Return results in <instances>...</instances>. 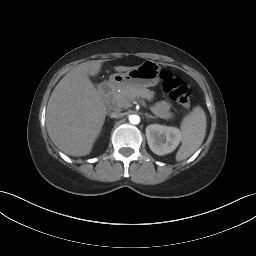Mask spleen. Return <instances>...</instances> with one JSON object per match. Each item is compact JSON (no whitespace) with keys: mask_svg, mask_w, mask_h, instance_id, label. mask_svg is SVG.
Returning a JSON list of instances; mask_svg holds the SVG:
<instances>
[{"mask_svg":"<svg viewBox=\"0 0 256 256\" xmlns=\"http://www.w3.org/2000/svg\"><path fill=\"white\" fill-rule=\"evenodd\" d=\"M206 115L200 106H196L181 123L182 145L176 161H183L190 157L202 144L206 133Z\"/></svg>","mask_w":256,"mask_h":256,"instance_id":"obj_1","label":"spleen"}]
</instances>
